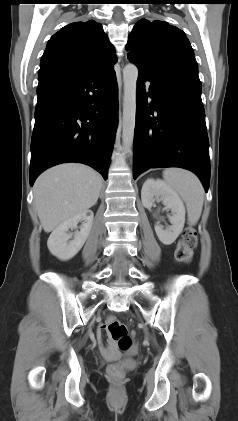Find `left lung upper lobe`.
I'll use <instances>...</instances> for the list:
<instances>
[{
  "instance_id": "left-lung-upper-lobe-1",
  "label": "left lung upper lobe",
  "mask_w": 238,
  "mask_h": 421,
  "mask_svg": "<svg viewBox=\"0 0 238 421\" xmlns=\"http://www.w3.org/2000/svg\"><path fill=\"white\" fill-rule=\"evenodd\" d=\"M126 50L139 72L164 78L185 72L198 73L193 49L185 33L164 21H138L129 35Z\"/></svg>"
}]
</instances>
